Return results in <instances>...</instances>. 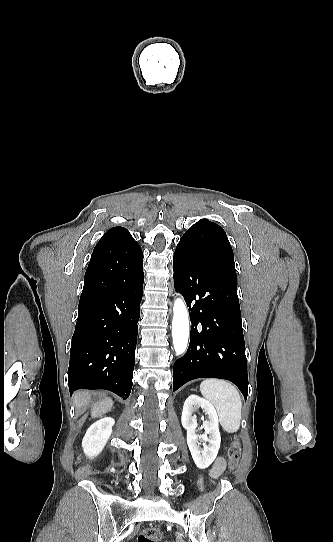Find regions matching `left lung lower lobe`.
Masks as SVG:
<instances>
[{"instance_id": "obj_1", "label": "left lung lower lobe", "mask_w": 333, "mask_h": 542, "mask_svg": "<svg viewBox=\"0 0 333 542\" xmlns=\"http://www.w3.org/2000/svg\"><path fill=\"white\" fill-rule=\"evenodd\" d=\"M176 291L185 298L191 319L186 354L173 369V391L186 382L220 378L233 382L248 395L247 361L237 295V275L203 264L183 246L173 257Z\"/></svg>"}]
</instances>
